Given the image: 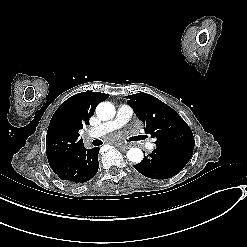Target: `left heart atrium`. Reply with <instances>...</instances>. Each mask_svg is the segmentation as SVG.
Masks as SVG:
<instances>
[{
  "label": "left heart atrium",
  "mask_w": 247,
  "mask_h": 247,
  "mask_svg": "<svg viewBox=\"0 0 247 247\" xmlns=\"http://www.w3.org/2000/svg\"><path fill=\"white\" fill-rule=\"evenodd\" d=\"M125 135H126L125 133H117V134L107 135L104 138L107 142L111 143L123 139Z\"/></svg>",
  "instance_id": "obj_1"
}]
</instances>
